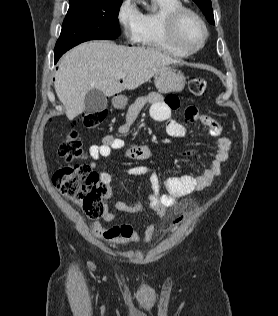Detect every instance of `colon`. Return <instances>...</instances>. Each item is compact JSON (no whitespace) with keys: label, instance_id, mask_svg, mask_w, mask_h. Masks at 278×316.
I'll return each instance as SVG.
<instances>
[{"label":"colon","instance_id":"obj_1","mask_svg":"<svg viewBox=\"0 0 278 316\" xmlns=\"http://www.w3.org/2000/svg\"><path fill=\"white\" fill-rule=\"evenodd\" d=\"M206 87L204 78H193L188 82V89L195 96L203 95ZM105 117L104 111L86 112L82 115V123L87 128H96ZM58 153L68 165L55 172L54 186L63 196L73 200L88 217L95 219L103 216L108 189L89 166L76 163L85 157L77 131L71 130L67 134L58 148ZM178 220L179 217L174 218V221Z\"/></svg>","mask_w":278,"mask_h":316}]
</instances>
